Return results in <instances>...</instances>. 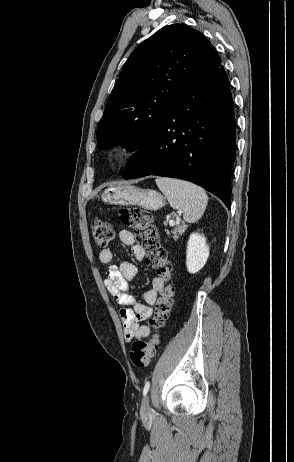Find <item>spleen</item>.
Listing matches in <instances>:
<instances>
[{"instance_id":"1","label":"spleen","mask_w":294,"mask_h":462,"mask_svg":"<svg viewBox=\"0 0 294 462\" xmlns=\"http://www.w3.org/2000/svg\"><path fill=\"white\" fill-rule=\"evenodd\" d=\"M155 181L171 207L183 212L186 222L193 223L201 218L208 203L204 189L178 179L158 177Z\"/></svg>"}]
</instances>
